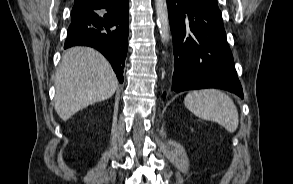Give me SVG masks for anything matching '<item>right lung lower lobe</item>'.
I'll return each mask as SVG.
<instances>
[{"label": "right lung lower lobe", "mask_w": 293, "mask_h": 184, "mask_svg": "<svg viewBox=\"0 0 293 184\" xmlns=\"http://www.w3.org/2000/svg\"><path fill=\"white\" fill-rule=\"evenodd\" d=\"M128 0H101L75 4L65 48L90 46L111 63L120 83L128 50Z\"/></svg>", "instance_id": "98d812e1"}]
</instances>
